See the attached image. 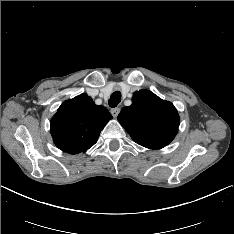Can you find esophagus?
<instances>
[{"label": "esophagus", "instance_id": "1", "mask_svg": "<svg viewBox=\"0 0 234 234\" xmlns=\"http://www.w3.org/2000/svg\"><path fill=\"white\" fill-rule=\"evenodd\" d=\"M120 108H113L111 109V114L113 115V117H117L118 114L120 113Z\"/></svg>", "mask_w": 234, "mask_h": 234}]
</instances>
